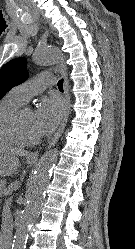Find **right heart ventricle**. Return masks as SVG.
I'll use <instances>...</instances> for the list:
<instances>
[{"mask_svg":"<svg viewBox=\"0 0 135 249\" xmlns=\"http://www.w3.org/2000/svg\"><path fill=\"white\" fill-rule=\"evenodd\" d=\"M23 101L9 92L0 100V145H17L19 142L12 135L5 124L6 117L16 108L22 106Z\"/></svg>","mask_w":135,"mask_h":249,"instance_id":"right-heart-ventricle-1","label":"right heart ventricle"}]
</instances>
